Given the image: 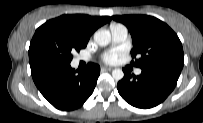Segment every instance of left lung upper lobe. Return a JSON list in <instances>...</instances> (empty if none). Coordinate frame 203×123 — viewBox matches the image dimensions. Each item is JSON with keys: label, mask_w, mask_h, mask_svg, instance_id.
<instances>
[{"label": "left lung upper lobe", "mask_w": 203, "mask_h": 123, "mask_svg": "<svg viewBox=\"0 0 203 123\" xmlns=\"http://www.w3.org/2000/svg\"><path fill=\"white\" fill-rule=\"evenodd\" d=\"M112 18L126 25L131 33V55L137 57L131 62L134 66L182 70L184 54L181 41L166 23L147 15H116Z\"/></svg>", "instance_id": "1"}]
</instances>
